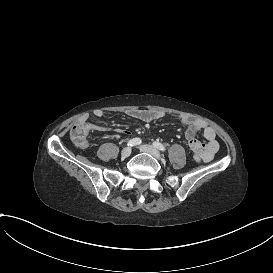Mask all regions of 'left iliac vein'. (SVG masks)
<instances>
[{"instance_id":"obj_1","label":"left iliac vein","mask_w":273,"mask_h":273,"mask_svg":"<svg viewBox=\"0 0 273 273\" xmlns=\"http://www.w3.org/2000/svg\"><path fill=\"white\" fill-rule=\"evenodd\" d=\"M140 150H141V152H146V153L151 154L156 159H160L161 158L160 152L156 148H154L153 146H151V145H142L140 147Z\"/></svg>"}]
</instances>
